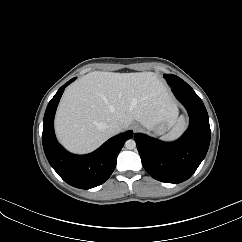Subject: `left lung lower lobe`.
I'll use <instances>...</instances> for the list:
<instances>
[{"mask_svg": "<svg viewBox=\"0 0 242 242\" xmlns=\"http://www.w3.org/2000/svg\"><path fill=\"white\" fill-rule=\"evenodd\" d=\"M172 91L189 113L187 131L171 143L142 133H135L134 139L145 170L158 181L177 184L189 179L204 159L211 131L206 108L193 89Z\"/></svg>", "mask_w": 242, "mask_h": 242, "instance_id": "0a47b994", "label": "left lung lower lobe"}]
</instances>
